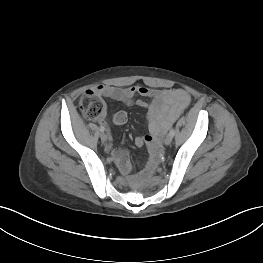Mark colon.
<instances>
[{"label": "colon", "instance_id": "5ec220e1", "mask_svg": "<svg viewBox=\"0 0 263 263\" xmlns=\"http://www.w3.org/2000/svg\"><path fill=\"white\" fill-rule=\"evenodd\" d=\"M83 115L90 120L100 119L105 112V103L93 90L86 91L79 100Z\"/></svg>", "mask_w": 263, "mask_h": 263}]
</instances>
